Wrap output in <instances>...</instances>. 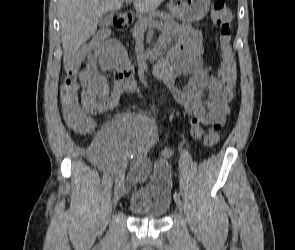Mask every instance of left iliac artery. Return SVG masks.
<instances>
[{"instance_id": "1", "label": "left iliac artery", "mask_w": 295, "mask_h": 250, "mask_svg": "<svg viewBox=\"0 0 295 250\" xmlns=\"http://www.w3.org/2000/svg\"><path fill=\"white\" fill-rule=\"evenodd\" d=\"M174 198H175V199H180V193L177 192V191H175V192H174Z\"/></svg>"}]
</instances>
